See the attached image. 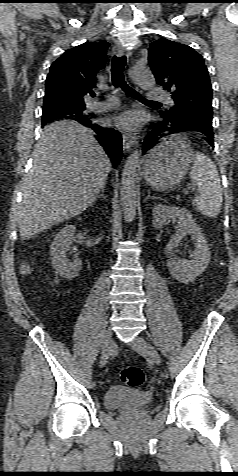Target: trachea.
I'll use <instances>...</instances> for the list:
<instances>
[{
	"mask_svg": "<svg viewBox=\"0 0 238 476\" xmlns=\"http://www.w3.org/2000/svg\"><path fill=\"white\" fill-rule=\"evenodd\" d=\"M126 65V56L117 57L114 56L111 65V75L112 83L114 87H120L127 95L131 96L134 99L145 102H154L146 100L141 95H139L134 89L129 87L124 79V67Z\"/></svg>",
	"mask_w": 238,
	"mask_h": 476,
	"instance_id": "obj_1",
	"label": "trachea"
}]
</instances>
